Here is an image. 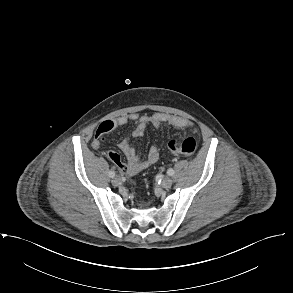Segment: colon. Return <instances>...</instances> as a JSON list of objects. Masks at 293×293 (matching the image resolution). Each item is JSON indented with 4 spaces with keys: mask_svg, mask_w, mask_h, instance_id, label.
<instances>
[{
    "mask_svg": "<svg viewBox=\"0 0 293 293\" xmlns=\"http://www.w3.org/2000/svg\"><path fill=\"white\" fill-rule=\"evenodd\" d=\"M198 141L194 136L184 138H172L168 142V148L172 153L190 156L195 153Z\"/></svg>",
    "mask_w": 293,
    "mask_h": 293,
    "instance_id": "obj_1",
    "label": "colon"
}]
</instances>
